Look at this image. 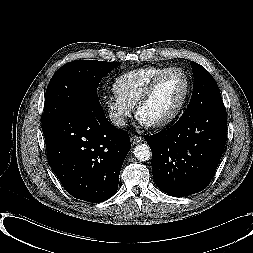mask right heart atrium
Instances as JSON below:
<instances>
[{
	"label": "right heart atrium",
	"instance_id": "right-heart-atrium-1",
	"mask_svg": "<svg viewBox=\"0 0 253 253\" xmlns=\"http://www.w3.org/2000/svg\"><path fill=\"white\" fill-rule=\"evenodd\" d=\"M105 108L112 122L119 127L126 125L134 110L132 105L116 94L105 99Z\"/></svg>",
	"mask_w": 253,
	"mask_h": 253
}]
</instances>
